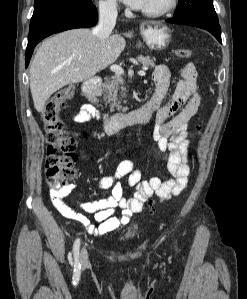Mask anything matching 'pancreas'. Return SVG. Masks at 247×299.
<instances>
[{
	"label": "pancreas",
	"mask_w": 247,
	"mask_h": 299,
	"mask_svg": "<svg viewBox=\"0 0 247 299\" xmlns=\"http://www.w3.org/2000/svg\"><path fill=\"white\" fill-rule=\"evenodd\" d=\"M137 60L145 67H154L155 66V59H151L149 56H138ZM102 93L104 95V100L111 102V108L112 110L114 107H117L118 111H126L127 107H122L119 105L121 101H119L118 96L120 98L126 97V88L124 87V81L121 75H115L111 79H107L106 82L103 84ZM125 103V101H123Z\"/></svg>",
	"instance_id": "1"
}]
</instances>
